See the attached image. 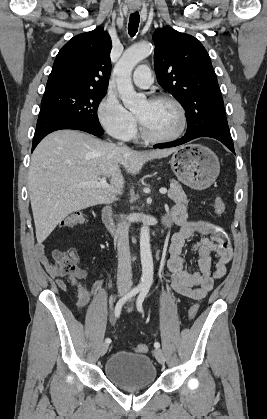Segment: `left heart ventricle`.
<instances>
[{"mask_svg":"<svg viewBox=\"0 0 267 419\" xmlns=\"http://www.w3.org/2000/svg\"><path fill=\"white\" fill-rule=\"evenodd\" d=\"M145 128L155 136H169L177 131L180 115L170 102L144 101L135 111Z\"/></svg>","mask_w":267,"mask_h":419,"instance_id":"b2bd125f","label":"left heart ventricle"}]
</instances>
